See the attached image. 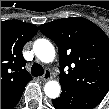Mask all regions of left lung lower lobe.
Here are the masks:
<instances>
[{
	"mask_svg": "<svg viewBox=\"0 0 109 109\" xmlns=\"http://www.w3.org/2000/svg\"><path fill=\"white\" fill-rule=\"evenodd\" d=\"M61 87L62 93L60 97L52 100L56 109H93L102 101L101 98L71 86L61 84Z\"/></svg>",
	"mask_w": 109,
	"mask_h": 109,
	"instance_id": "0a47b994",
	"label": "left lung lower lobe"
}]
</instances>
